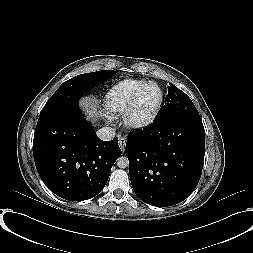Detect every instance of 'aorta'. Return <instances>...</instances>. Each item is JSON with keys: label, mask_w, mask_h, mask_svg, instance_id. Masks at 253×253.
<instances>
[{"label": "aorta", "mask_w": 253, "mask_h": 253, "mask_svg": "<svg viewBox=\"0 0 253 253\" xmlns=\"http://www.w3.org/2000/svg\"><path fill=\"white\" fill-rule=\"evenodd\" d=\"M116 164L119 168L124 169V168H127L129 166V160L126 156H120L117 159Z\"/></svg>", "instance_id": "aorta-1"}]
</instances>
